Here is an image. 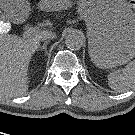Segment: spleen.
<instances>
[{
	"instance_id": "obj_1",
	"label": "spleen",
	"mask_w": 135,
	"mask_h": 135,
	"mask_svg": "<svg viewBox=\"0 0 135 135\" xmlns=\"http://www.w3.org/2000/svg\"><path fill=\"white\" fill-rule=\"evenodd\" d=\"M108 85L117 92H125L135 87V60L129 62L122 73L117 71L110 73Z\"/></svg>"
}]
</instances>
